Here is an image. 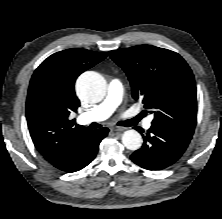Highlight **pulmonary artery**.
Instances as JSON below:
<instances>
[{
  "label": "pulmonary artery",
  "instance_id": "e3ab8cb5",
  "mask_svg": "<svg viewBox=\"0 0 222 219\" xmlns=\"http://www.w3.org/2000/svg\"><path fill=\"white\" fill-rule=\"evenodd\" d=\"M123 95V85L119 79H112L108 86V93L105 100L94 107L92 110L81 114L78 121L81 124H88L91 122H100L110 117L116 108L120 105ZM151 118H149L144 127L146 129L151 127Z\"/></svg>",
  "mask_w": 222,
  "mask_h": 219
}]
</instances>
